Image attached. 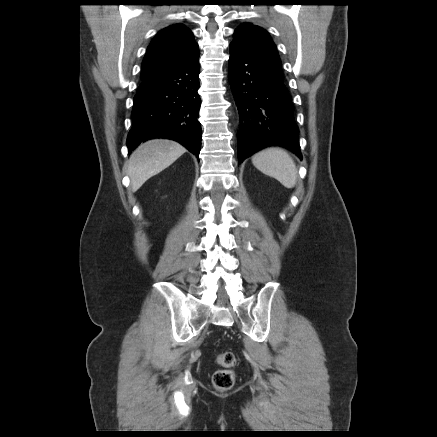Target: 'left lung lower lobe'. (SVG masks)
<instances>
[{
    "mask_svg": "<svg viewBox=\"0 0 437 437\" xmlns=\"http://www.w3.org/2000/svg\"><path fill=\"white\" fill-rule=\"evenodd\" d=\"M229 82L240 115L238 161L272 145L302 158L294 107L283 78L230 45Z\"/></svg>",
    "mask_w": 437,
    "mask_h": 437,
    "instance_id": "left-lung-lower-lobe-1",
    "label": "left lung lower lobe"
}]
</instances>
